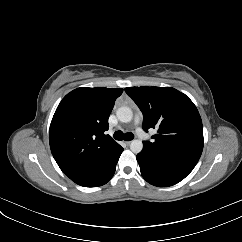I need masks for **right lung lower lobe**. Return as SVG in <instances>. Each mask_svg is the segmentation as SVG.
Instances as JSON below:
<instances>
[{
    "mask_svg": "<svg viewBox=\"0 0 242 242\" xmlns=\"http://www.w3.org/2000/svg\"><path fill=\"white\" fill-rule=\"evenodd\" d=\"M122 151L123 148L119 144L115 145L69 178L84 187H98L106 184L114 175Z\"/></svg>",
    "mask_w": 242,
    "mask_h": 242,
    "instance_id": "obj_1",
    "label": "right lung lower lobe"
}]
</instances>
